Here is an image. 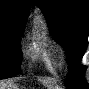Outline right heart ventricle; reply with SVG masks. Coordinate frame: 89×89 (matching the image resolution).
<instances>
[{
    "mask_svg": "<svg viewBox=\"0 0 89 89\" xmlns=\"http://www.w3.org/2000/svg\"><path fill=\"white\" fill-rule=\"evenodd\" d=\"M34 36L44 43L48 41V28L42 16H37L35 19Z\"/></svg>",
    "mask_w": 89,
    "mask_h": 89,
    "instance_id": "obj_1",
    "label": "right heart ventricle"
}]
</instances>
